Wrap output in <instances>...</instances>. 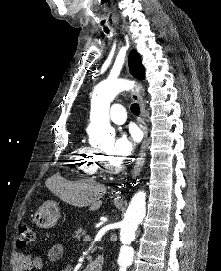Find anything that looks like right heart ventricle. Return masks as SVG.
Here are the masks:
<instances>
[{
    "label": "right heart ventricle",
    "instance_id": "e07e8e85",
    "mask_svg": "<svg viewBox=\"0 0 221 271\" xmlns=\"http://www.w3.org/2000/svg\"><path fill=\"white\" fill-rule=\"evenodd\" d=\"M74 161L78 164L80 161L81 163H89V158H71V163H74ZM80 172L83 176H92L96 172L98 165L97 164H81Z\"/></svg>",
    "mask_w": 221,
    "mask_h": 271
}]
</instances>
